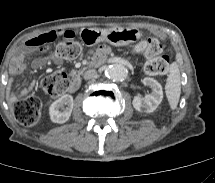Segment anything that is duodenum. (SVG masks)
<instances>
[{"label": "duodenum", "instance_id": "410a0bca", "mask_svg": "<svg viewBox=\"0 0 215 183\" xmlns=\"http://www.w3.org/2000/svg\"><path fill=\"white\" fill-rule=\"evenodd\" d=\"M80 86V80L78 77H73L70 82H69V85H68V92H74L76 91Z\"/></svg>", "mask_w": 215, "mask_h": 183}]
</instances>
